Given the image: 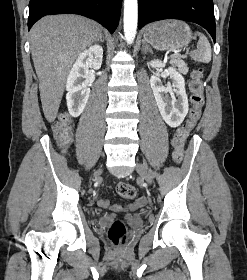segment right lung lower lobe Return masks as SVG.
Returning <instances> with one entry per match:
<instances>
[{"mask_svg":"<svg viewBox=\"0 0 247 280\" xmlns=\"http://www.w3.org/2000/svg\"><path fill=\"white\" fill-rule=\"evenodd\" d=\"M122 0H30L28 29L49 14L72 13L92 18L110 33L118 26Z\"/></svg>","mask_w":247,"mask_h":280,"instance_id":"right-lung-lower-lobe-1","label":"right lung lower lobe"}]
</instances>
